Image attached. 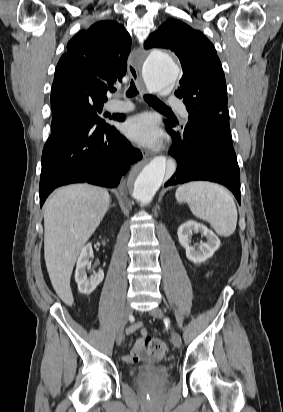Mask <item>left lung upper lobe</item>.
Here are the masks:
<instances>
[{
	"mask_svg": "<svg viewBox=\"0 0 283 412\" xmlns=\"http://www.w3.org/2000/svg\"><path fill=\"white\" fill-rule=\"evenodd\" d=\"M144 47L165 48L178 56L183 74L175 95L189 112L186 126L198 127L214 141L233 147L226 82L213 44L200 31L170 19L149 36Z\"/></svg>",
	"mask_w": 283,
	"mask_h": 412,
	"instance_id": "1",
	"label": "left lung upper lobe"
}]
</instances>
